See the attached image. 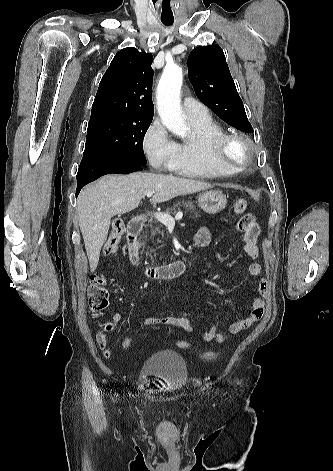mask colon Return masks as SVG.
I'll use <instances>...</instances> for the list:
<instances>
[{
    "label": "colon",
    "mask_w": 333,
    "mask_h": 471,
    "mask_svg": "<svg viewBox=\"0 0 333 471\" xmlns=\"http://www.w3.org/2000/svg\"><path fill=\"white\" fill-rule=\"evenodd\" d=\"M247 208V201L245 199L237 200L233 205L235 214L243 213ZM125 231V224L121 219H116L112 223L111 233L105 243V255H113L117 252L120 239ZM106 279L101 275H94L92 277V284L88 291L89 307L93 312H100L108 307V292L105 288ZM133 345V338L126 337L122 341V348L128 350ZM175 347L182 350H189L192 348L191 344L186 340H177L174 343ZM202 356L207 359H214L218 356L217 352L206 351Z\"/></svg>",
    "instance_id": "colon-1"
}]
</instances>
